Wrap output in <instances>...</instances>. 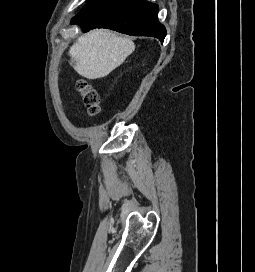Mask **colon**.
Returning <instances> with one entry per match:
<instances>
[{"instance_id":"colon-1","label":"colon","mask_w":255,"mask_h":272,"mask_svg":"<svg viewBox=\"0 0 255 272\" xmlns=\"http://www.w3.org/2000/svg\"><path fill=\"white\" fill-rule=\"evenodd\" d=\"M77 90L82 96L83 103L92 116L100 112V99L98 93L85 81L77 82Z\"/></svg>"}]
</instances>
